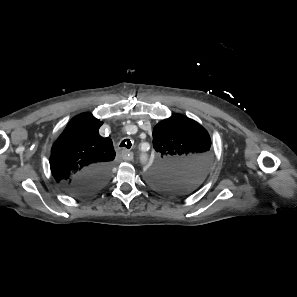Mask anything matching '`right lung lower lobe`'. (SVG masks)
Here are the masks:
<instances>
[{
  "label": "right lung lower lobe",
  "mask_w": 297,
  "mask_h": 297,
  "mask_svg": "<svg viewBox=\"0 0 297 297\" xmlns=\"http://www.w3.org/2000/svg\"><path fill=\"white\" fill-rule=\"evenodd\" d=\"M110 165H96L77 174L68 188L71 194L84 196L100 189L110 177Z\"/></svg>",
  "instance_id": "1"
}]
</instances>
